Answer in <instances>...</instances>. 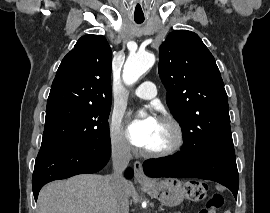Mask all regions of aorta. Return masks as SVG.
<instances>
[{"mask_svg":"<svg viewBox=\"0 0 270 213\" xmlns=\"http://www.w3.org/2000/svg\"><path fill=\"white\" fill-rule=\"evenodd\" d=\"M155 63V55L150 52H137L130 55L124 65L123 80L127 85L135 83Z\"/></svg>","mask_w":270,"mask_h":213,"instance_id":"1","label":"aorta"}]
</instances>
